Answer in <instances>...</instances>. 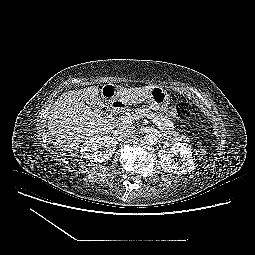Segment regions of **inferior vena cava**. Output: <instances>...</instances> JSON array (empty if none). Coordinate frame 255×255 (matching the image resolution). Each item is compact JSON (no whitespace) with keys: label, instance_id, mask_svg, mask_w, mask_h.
<instances>
[{"label":"inferior vena cava","instance_id":"inferior-vena-cava-1","mask_svg":"<svg viewBox=\"0 0 255 255\" xmlns=\"http://www.w3.org/2000/svg\"><path fill=\"white\" fill-rule=\"evenodd\" d=\"M134 133H135V127L132 125H123V126H119L116 129V134L119 135L120 137H127Z\"/></svg>","mask_w":255,"mask_h":255}]
</instances>
